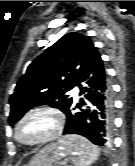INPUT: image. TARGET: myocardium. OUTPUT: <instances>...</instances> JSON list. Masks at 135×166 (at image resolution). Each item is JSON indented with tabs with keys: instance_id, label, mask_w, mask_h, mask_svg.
Returning a JSON list of instances; mask_svg holds the SVG:
<instances>
[{
	"instance_id": "myocardium-1",
	"label": "myocardium",
	"mask_w": 135,
	"mask_h": 166,
	"mask_svg": "<svg viewBox=\"0 0 135 166\" xmlns=\"http://www.w3.org/2000/svg\"><path fill=\"white\" fill-rule=\"evenodd\" d=\"M36 114L50 115L53 118L52 130L45 136L32 140V141H27V140L21 139L19 136V129H20L21 125L26 120H28L30 117H32ZM63 126H64V115L58 108L50 106V105H39V106L30 108L18 119V121L16 122V124L14 126L13 135H14L15 140L22 145L36 146V145L45 144V143L55 140L62 132Z\"/></svg>"
}]
</instances>
